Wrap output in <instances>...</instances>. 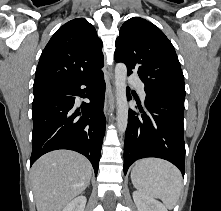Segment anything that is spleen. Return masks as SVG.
I'll use <instances>...</instances> for the list:
<instances>
[{"label": "spleen", "instance_id": "1", "mask_svg": "<svg viewBox=\"0 0 221 211\" xmlns=\"http://www.w3.org/2000/svg\"><path fill=\"white\" fill-rule=\"evenodd\" d=\"M131 180L138 191L159 198L169 209L177 203L182 191L180 171L161 159L139 160L131 171Z\"/></svg>", "mask_w": 221, "mask_h": 211}]
</instances>
